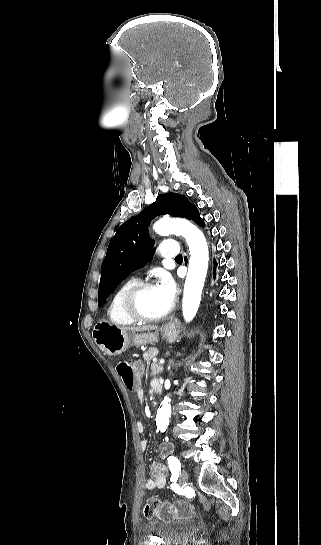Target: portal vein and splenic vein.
I'll list each match as a JSON object with an SVG mask.
<instances>
[{
  "label": "portal vein and splenic vein",
  "mask_w": 321,
  "mask_h": 545,
  "mask_svg": "<svg viewBox=\"0 0 321 545\" xmlns=\"http://www.w3.org/2000/svg\"><path fill=\"white\" fill-rule=\"evenodd\" d=\"M164 360H165V357H162V359H161V361H160V363H159V366H162V364H165V361H164Z\"/></svg>",
  "instance_id": "portal-vein-and-splenic-vein-1"
}]
</instances>
